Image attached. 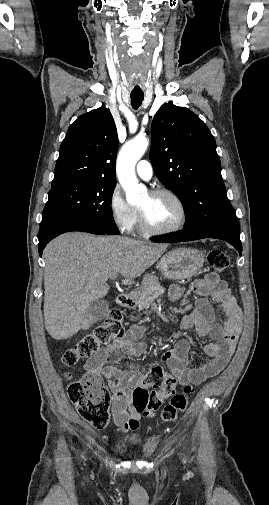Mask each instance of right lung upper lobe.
Masks as SVG:
<instances>
[{
    "label": "right lung upper lobe",
    "mask_w": 269,
    "mask_h": 505,
    "mask_svg": "<svg viewBox=\"0 0 269 505\" xmlns=\"http://www.w3.org/2000/svg\"><path fill=\"white\" fill-rule=\"evenodd\" d=\"M117 150L109 109L102 106L79 116L60 146L51 188L77 182L115 183Z\"/></svg>",
    "instance_id": "right-lung-upper-lobe-1"
}]
</instances>
